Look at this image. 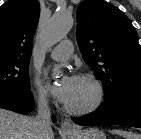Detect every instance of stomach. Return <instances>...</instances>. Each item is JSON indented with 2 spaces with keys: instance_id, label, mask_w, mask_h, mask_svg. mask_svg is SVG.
<instances>
[{
  "instance_id": "0dacf381",
  "label": "stomach",
  "mask_w": 141,
  "mask_h": 139,
  "mask_svg": "<svg viewBox=\"0 0 141 139\" xmlns=\"http://www.w3.org/2000/svg\"><path fill=\"white\" fill-rule=\"evenodd\" d=\"M67 135L69 139H106V135L97 128L78 129Z\"/></svg>"
}]
</instances>
